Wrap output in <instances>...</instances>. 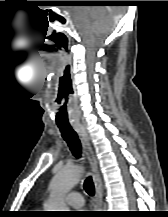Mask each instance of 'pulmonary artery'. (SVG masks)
<instances>
[{"label": "pulmonary artery", "mask_w": 168, "mask_h": 217, "mask_svg": "<svg viewBox=\"0 0 168 217\" xmlns=\"http://www.w3.org/2000/svg\"><path fill=\"white\" fill-rule=\"evenodd\" d=\"M65 200L74 208H81L84 205L83 196L79 192H70L66 195Z\"/></svg>", "instance_id": "obj_1"}]
</instances>
